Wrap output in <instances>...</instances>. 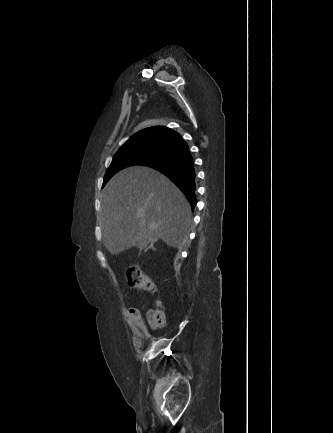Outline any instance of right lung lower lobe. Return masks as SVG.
I'll return each mask as SVG.
<instances>
[{"instance_id":"obj_1","label":"right lung lower lobe","mask_w":333,"mask_h":433,"mask_svg":"<svg viewBox=\"0 0 333 433\" xmlns=\"http://www.w3.org/2000/svg\"><path fill=\"white\" fill-rule=\"evenodd\" d=\"M172 140L165 147L171 149V153L166 157L155 160L147 166L153 167L165 174L182 192L187 195V199L192 208L196 205V184H195V164L187 143L178 138L173 146Z\"/></svg>"}]
</instances>
